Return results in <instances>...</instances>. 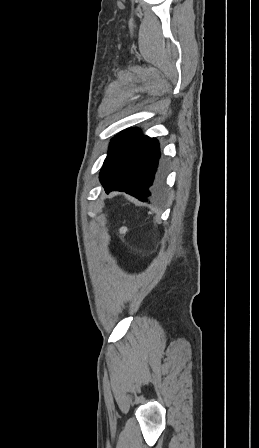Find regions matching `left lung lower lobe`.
<instances>
[{"instance_id":"obj_1","label":"left lung lower lobe","mask_w":259,"mask_h":448,"mask_svg":"<svg viewBox=\"0 0 259 448\" xmlns=\"http://www.w3.org/2000/svg\"><path fill=\"white\" fill-rule=\"evenodd\" d=\"M159 159L157 139L141 134L137 128L123 130L110 142L99 180L107 194L113 190L125 191L146 201L164 175Z\"/></svg>"}]
</instances>
